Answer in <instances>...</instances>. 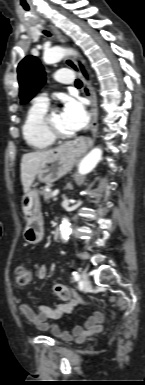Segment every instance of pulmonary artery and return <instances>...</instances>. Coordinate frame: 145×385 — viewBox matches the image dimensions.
Instances as JSON below:
<instances>
[{"label": "pulmonary artery", "mask_w": 145, "mask_h": 385, "mask_svg": "<svg viewBox=\"0 0 145 385\" xmlns=\"http://www.w3.org/2000/svg\"><path fill=\"white\" fill-rule=\"evenodd\" d=\"M54 77L55 79L60 82V83H64V84H70L73 82L74 80V76L73 74L67 70V69H61V70H58L55 74H54ZM36 102L38 103H41V104H44V105H48V98H47V95L46 94H42L40 96H38L36 98Z\"/></svg>", "instance_id": "pulmonary-artery-1"}]
</instances>
